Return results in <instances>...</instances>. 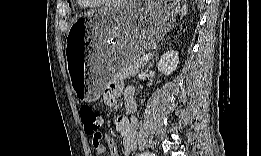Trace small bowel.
Returning <instances> with one entry per match:
<instances>
[{
  "mask_svg": "<svg viewBox=\"0 0 261 156\" xmlns=\"http://www.w3.org/2000/svg\"><path fill=\"white\" fill-rule=\"evenodd\" d=\"M123 90L120 85L110 84L104 91V102L108 106H113L117 102L118 94ZM125 99V108L128 113L133 114L136 111V103L133 98V88L127 87L123 90ZM138 119L131 115L130 117L120 115L116 118V129L122 136L123 155H130L137 146L138 141ZM108 149L100 142L94 145V154L96 156H118L117 146L112 138L106 136Z\"/></svg>",
  "mask_w": 261,
  "mask_h": 156,
  "instance_id": "obj_1",
  "label": "small bowel"
}]
</instances>
